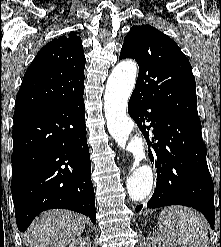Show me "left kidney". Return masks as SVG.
I'll return each instance as SVG.
<instances>
[{
  "label": "left kidney",
  "instance_id": "5707ae66",
  "mask_svg": "<svg viewBox=\"0 0 221 247\" xmlns=\"http://www.w3.org/2000/svg\"><path fill=\"white\" fill-rule=\"evenodd\" d=\"M161 243H163L164 247H176L174 243L170 242L164 236L159 234L148 238L147 247H157V245H160Z\"/></svg>",
  "mask_w": 221,
  "mask_h": 247
}]
</instances>
